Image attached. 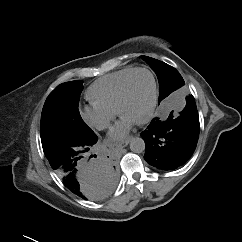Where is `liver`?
<instances>
[{"mask_svg":"<svg viewBox=\"0 0 242 242\" xmlns=\"http://www.w3.org/2000/svg\"><path fill=\"white\" fill-rule=\"evenodd\" d=\"M89 189L90 190L88 191L87 198L90 199V200H98V199L103 198L106 195L102 192H98L97 190L95 192V190H92L91 188H89Z\"/></svg>","mask_w":242,"mask_h":242,"instance_id":"6515ba94","label":"liver"}]
</instances>
